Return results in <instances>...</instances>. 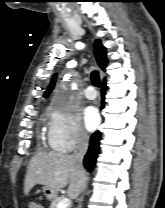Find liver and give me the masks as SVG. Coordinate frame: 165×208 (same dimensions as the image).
Segmentation results:
<instances>
[{
    "label": "liver",
    "instance_id": "6515ba94",
    "mask_svg": "<svg viewBox=\"0 0 165 208\" xmlns=\"http://www.w3.org/2000/svg\"><path fill=\"white\" fill-rule=\"evenodd\" d=\"M86 181V172L77 166L71 155L40 152L29 162L24 194L28 195L36 184L57 192L69 184L67 194L75 199L84 189Z\"/></svg>",
    "mask_w": 165,
    "mask_h": 208
}]
</instances>
